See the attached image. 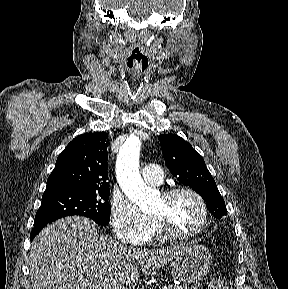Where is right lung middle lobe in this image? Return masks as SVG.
Listing matches in <instances>:
<instances>
[{
    "instance_id": "dd1d6c3e",
    "label": "right lung middle lobe",
    "mask_w": 288,
    "mask_h": 289,
    "mask_svg": "<svg viewBox=\"0 0 288 289\" xmlns=\"http://www.w3.org/2000/svg\"><path fill=\"white\" fill-rule=\"evenodd\" d=\"M109 187L93 189L58 188L45 190L34 225L48 224L59 218L80 215L99 225L110 221Z\"/></svg>"
}]
</instances>
